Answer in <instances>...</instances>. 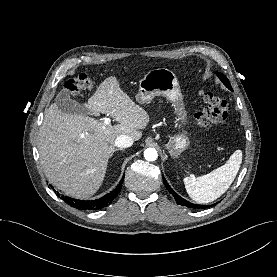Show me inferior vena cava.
<instances>
[{
  "mask_svg": "<svg viewBox=\"0 0 277 277\" xmlns=\"http://www.w3.org/2000/svg\"><path fill=\"white\" fill-rule=\"evenodd\" d=\"M133 138L128 135H120L115 140V145L119 148H128L132 146Z\"/></svg>",
  "mask_w": 277,
  "mask_h": 277,
  "instance_id": "obj_1",
  "label": "inferior vena cava"
}]
</instances>
